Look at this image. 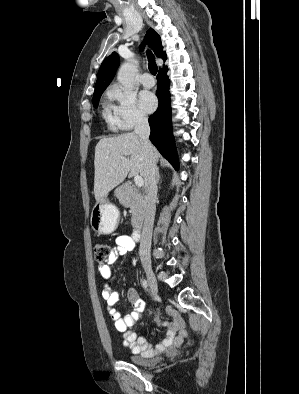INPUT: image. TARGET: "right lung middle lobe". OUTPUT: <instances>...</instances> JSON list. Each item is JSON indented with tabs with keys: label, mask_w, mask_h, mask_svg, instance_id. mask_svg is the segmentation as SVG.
I'll list each match as a JSON object with an SVG mask.
<instances>
[{
	"label": "right lung middle lobe",
	"mask_w": 299,
	"mask_h": 394,
	"mask_svg": "<svg viewBox=\"0 0 299 394\" xmlns=\"http://www.w3.org/2000/svg\"><path fill=\"white\" fill-rule=\"evenodd\" d=\"M102 93L103 92L98 93V94L93 96V105H94V107L98 106V103H99V100H100V97H101Z\"/></svg>",
	"instance_id": "right-lung-middle-lobe-1"
}]
</instances>
